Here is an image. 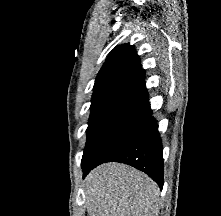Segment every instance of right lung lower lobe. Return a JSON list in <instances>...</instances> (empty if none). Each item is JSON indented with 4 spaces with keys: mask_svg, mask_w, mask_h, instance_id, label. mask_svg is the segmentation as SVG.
Segmentation results:
<instances>
[{
    "mask_svg": "<svg viewBox=\"0 0 221 216\" xmlns=\"http://www.w3.org/2000/svg\"><path fill=\"white\" fill-rule=\"evenodd\" d=\"M162 142L155 119L150 116V122L145 132L129 145L115 152L105 162H120L135 167L150 176L163 188L164 164ZM102 164V163H101ZM82 166L83 178L96 166Z\"/></svg>",
    "mask_w": 221,
    "mask_h": 216,
    "instance_id": "obj_1",
    "label": "right lung lower lobe"
}]
</instances>
